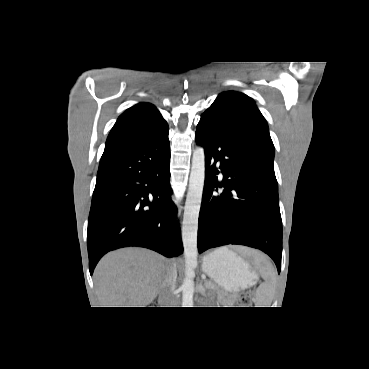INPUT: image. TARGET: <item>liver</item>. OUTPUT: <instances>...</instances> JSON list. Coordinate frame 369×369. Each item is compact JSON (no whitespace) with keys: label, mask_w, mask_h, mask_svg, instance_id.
<instances>
[{"label":"liver","mask_w":369,"mask_h":369,"mask_svg":"<svg viewBox=\"0 0 369 369\" xmlns=\"http://www.w3.org/2000/svg\"><path fill=\"white\" fill-rule=\"evenodd\" d=\"M254 256L256 251L243 249ZM175 265L160 254L123 248L105 255L94 271L103 307H147L156 298L167 269Z\"/></svg>","instance_id":"1"}]
</instances>
